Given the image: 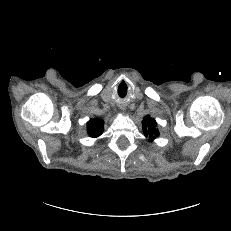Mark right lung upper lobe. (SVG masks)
<instances>
[{"label": "right lung upper lobe", "mask_w": 231, "mask_h": 231, "mask_svg": "<svg viewBox=\"0 0 231 231\" xmlns=\"http://www.w3.org/2000/svg\"><path fill=\"white\" fill-rule=\"evenodd\" d=\"M104 122L102 120L98 119H91L87 123V132L90 137H98L102 134V128H103Z\"/></svg>", "instance_id": "1"}]
</instances>
